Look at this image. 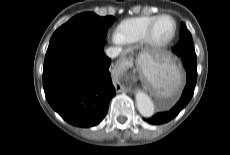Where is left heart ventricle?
Segmentation results:
<instances>
[{"mask_svg":"<svg viewBox=\"0 0 230 155\" xmlns=\"http://www.w3.org/2000/svg\"><path fill=\"white\" fill-rule=\"evenodd\" d=\"M173 30V23L168 18L161 19L154 30V37L157 40H165L168 38Z\"/></svg>","mask_w":230,"mask_h":155,"instance_id":"obj_1","label":"left heart ventricle"}]
</instances>
